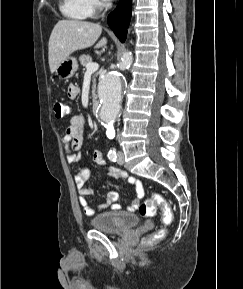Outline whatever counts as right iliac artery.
Wrapping results in <instances>:
<instances>
[{
  "label": "right iliac artery",
  "instance_id": "right-iliac-artery-1",
  "mask_svg": "<svg viewBox=\"0 0 243 289\" xmlns=\"http://www.w3.org/2000/svg\"><path fill=\"white\" fill-rule=\"evenodd\" d=\"M108 158H109L110 161L115 162L116 159H117V154H116V152H115V151H110V152L108 153Z\"/></svg>",
  "mask_w": 243,
  "mask_h": 289
}]
</instances>
